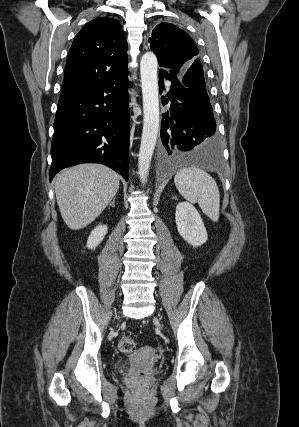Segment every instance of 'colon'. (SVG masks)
<instances>
[{"instance_id":"1","label":"colon","mask_w":299,"mask_h":427,"mask_svg":"<svg viewBox=\"0 0 299 427\" xmlns=\"http://www.w3.org/2000/svg\"><path fill=\"white\" fill-rule=\"evenodd\" d=\"M119 349L123 353H130L135 349V343L132 338L125 336L119 341Z\"/></svg>"}]
</instances>
